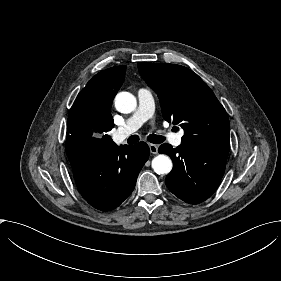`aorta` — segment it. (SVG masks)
<instances>
[{"label": "aorta", "instance_id": "aorta-1", "mask_svg": "<svg viewBox=\"0 0 281 281\" xmlns=\"http://www.w3.org/2000/svg\"><path fill=\"white\" fill-rule=\"evenodd\" d=\"M136 106V98L129 92H120L115 97V107L118 112L128 114L134 111ZM152 168L157 174L164 175L171 172L173 163L167 155L160 154L153 158Z\"/></svg>", "mask_w": 281, "mask_h": 281}]
</instances>
